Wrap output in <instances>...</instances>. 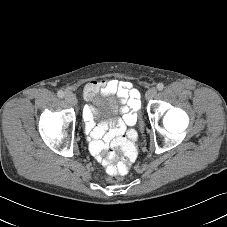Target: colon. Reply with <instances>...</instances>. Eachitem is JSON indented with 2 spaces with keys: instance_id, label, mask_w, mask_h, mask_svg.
Listing matches in <instances>:
<instances>
[{
  "instance_id": "1",
  "label": "colon",
  "mask_w": 227,
  "mask_h": 227,
  "mask_svg": "<svg viewBox=\"0 0 227 227\" xmlns=\"http://www.w3.org/2000/svg\"><path fill=\"white\" fill-rule=\"evenodd\" d=\"M139 123H140V131H145V121H144V114L139 113L138 114ZM117 155L112 150L108 151L104 160L106 163V172H107V180L110 183H116L119 182L122 179V175H124L127 170L128 166L127 164H123L121 166L114 165L113 163L116 161Z\"/></svg>"
}]
</instances>
